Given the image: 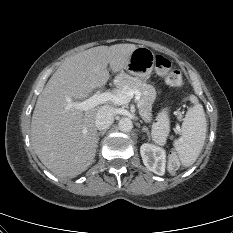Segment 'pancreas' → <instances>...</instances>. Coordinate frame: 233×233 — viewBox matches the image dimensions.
Instances as JSON below:
<instances>
[{
	"label": "pancreas",
	"instance_id": "obj_1",
	"mask_svg": "<svg viewBox=\"0 0 233 233\" xmlns=\"http://www.w3.org/2000/svg\"><path fill=\"white\" fill-rule=\"evenodd\" d=\"M115 85L116 93L122 91V89L126 86L128 87V90H138L141 93L138 101L139 113L146 123H150L152 120V104L156 96L155 89L151 85L146 84L144 81L124 73L117 76ZM152 133L153 138L157 143H165L168 131L164 126H161V128L158 129L157 125L154 124Z\"/></svg>",
	"mask_w": 233,
	"mask_h": 233
}]
</instances>
